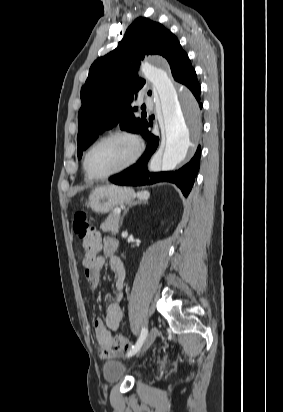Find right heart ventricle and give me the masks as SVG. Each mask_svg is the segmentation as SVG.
Instances as JSON below:
<instances>
[{"label":"right heart ventricle","mask_w":283,"mask_h":412,"mask_svg":"<svg viewBox=\"0 0 283 412\" xmlns=\"http://www.w3.org/2000/svg\"><path fill=\"white\" fill-rule=\"evenodd\" d=\"M86 178H87V179H90V177H89L88 175H86Z\"/></svg>","instance_id":"e07e8e85"}]
</instances>
